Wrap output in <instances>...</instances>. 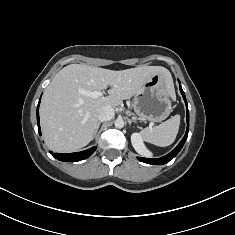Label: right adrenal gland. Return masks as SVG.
<instances>
[{
	"label": "right adrenal gland",
	"instance_id": "right-adrenal-gland-1",
	"mask_svg": "<svg viewBox=\"0 0 235 235\" xmlns=\"http://www.w3.org/2000/svg\"><path fill=\"white\" fill-rule=\"evenodd\" d=\"M101 123H102V122H99V123H98L97 128H96L95 133H94V136L97 134V131H98V129H99ZM93 138H94V137H93Z\"/></svg>",
	"mask_w": 235,
	"mask_h": 235
}]
</instances>
